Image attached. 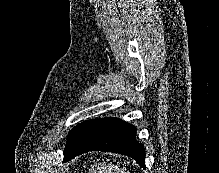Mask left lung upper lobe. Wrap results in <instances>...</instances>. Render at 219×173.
<instances>
[{"mask_svg":"<svg viewBox=\"0 0 219 173\" xmlns=\"http://www.w3.org/2000/svg\"><path fill=\"white\" fill-rule=\"evenodd\" d=\"M88 123H89V121L82 122V123L78 124L77 126H75L69 132L68 139H67V145H66V148L64 150V153L74 145V143L77 141V139L79 138V136L81 135V133L83 132V130L85 129V127L87 126Z\"/></svg>","mask_w":219,"mask_h":173,"instance_id":"left-lung-upper-lobe-1","label":"left lung upper lobe"}]
</instances>
